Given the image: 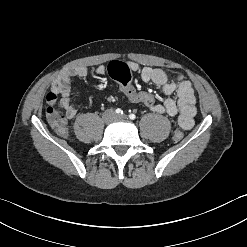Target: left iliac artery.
Segmentation results:
<instances>
[{
    "mask_svg": "<svg viewBox=\"0 0 247 247\" xmlns=\"http://www.w3.org/2000/svg\"><path fill=\"white\" fill-rule=\"evenodd\" d=\"M129 118H130L131 120H134V119H136V115H135V114H130V115H129Z\"/></svg>",
    "mask_w": 247,
    "mask_h": 247,
    "instance_id": "1",
    "label": "left iliac artery"
}]
</instances>
